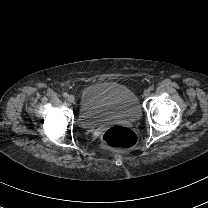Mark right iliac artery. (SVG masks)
Returning a JSON list of instances; mask_svg holds the SVG:
<instances>
[{
    "mask_svg": "<svg viewBox=\"0 0 208 208\" xmlns=\"http://www.w3.org/2000/svg\"><path fill=\"white\" fill-rule=\"evenodd\" d=\"M63 97L67 98L68 97V93L67 92H64L63 93Z\"/></svg>",
    "mask_w": 208,
    "mask_h": 208,
    "instance_id": "right-iliac-artery-1",
    "label": "right iliac artery"
}]
</instances>
